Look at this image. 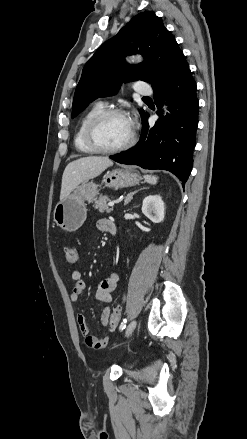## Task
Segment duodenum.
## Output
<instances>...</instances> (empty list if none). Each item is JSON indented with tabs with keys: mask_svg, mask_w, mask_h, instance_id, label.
Masks as SVG:
<instances>
[{
	"mask_svg": "<svg viewBox=\"0 0 247 439\" xmlns=\"http://www.w3.org/2000/svg\"><path fill=\"white\" fill-rule=\"evenodd\" d=\"M109 233H111L113 236L116 235V233H117V228H116V226H115L114 223L111 224V226H110V228H109Z\"/></svg>",
	"mask_w": 247,
	"mask_h": 439,
	"instance_id": "obj_1",
	"label": "duodenum"
}]
</instances>
